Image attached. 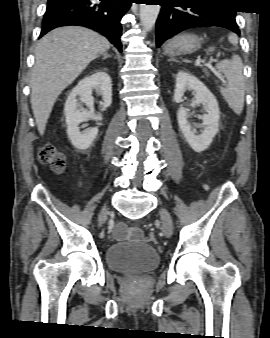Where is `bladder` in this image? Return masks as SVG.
Instances as JSON below:
<instances>
[{
  "label": "bladder",
  "mask_w": 270,
  "mask_h": 338,
  "mask_svg": "<svg viewBox=\"0 0 270 338\" xmlns=\"http://www.w3.org/2000/svg\"><path fill=\"white\" fill-rule=\"evenodd\" d=\"M160 261L157 249L144 242H114L106 250L108 267L117 273H145L155 269Z\"/></svg>",
  "instance_id": "obj_1"
}]
</instances>
